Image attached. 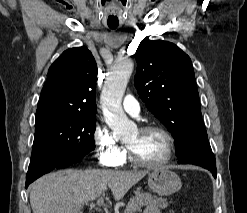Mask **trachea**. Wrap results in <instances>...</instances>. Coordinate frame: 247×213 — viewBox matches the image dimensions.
Returning a JSON list of instances; mask_svg holds the SVG:
<instances>
[{"label": "trachea", "mask_w": 247, "mask_h": 213, "mask_svg": "<svg viewBox=\"0 0 247 213\" xmlns=\"http://www.w3.org/2000/svg\"><path fill=\"white\" fill-rule=\"evenodd\" d=\"M109 28H111V29H116V28H117V26H114V25H109Z\"/></svg>", "instance_id": "trachea-1"}]
</instances>
